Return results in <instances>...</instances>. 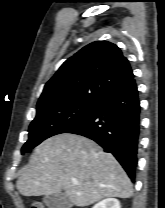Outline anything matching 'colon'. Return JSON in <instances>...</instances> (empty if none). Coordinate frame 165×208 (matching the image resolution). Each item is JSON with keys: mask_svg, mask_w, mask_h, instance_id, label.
<instances>
[{"mask_svg": "<svg viewBox=\"0 0 165 208\" xmlns=\"http://www.w3.org/2000/svg\"><path fill=\"white\" fill-rule=\"evenodd\" d=\"M31 208H44L42 204L40 203H34Z\"/></svg>", "mask_w": 165, "mask_h": 208, "instance_id": "colon-1", "label": "colon"}]
</instances>
